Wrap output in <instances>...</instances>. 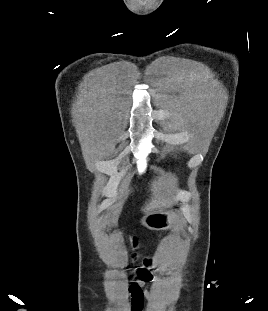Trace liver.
Listing matches in <instances>:
<instances>
[{
  "mask_svg": "<svg viewBox=\"0 0 268 311\" xmlns=\"http://www.w3.org/2000/svg\"><path fill=\"white\" fill-rule=\"evenodd\" d=\"M129 183V178L125 179L119 189V193L125 195L126 197L130 192V190H128ZM151 192L152 194L150 200H148L142 208V211L144 212L152 211L169 203L168 196L170 195V188L163 178L159 177L151 183ZM121 207V203L115 205L114 209L116 214L120 211Z\"/></svg>",
  "mask_w": 268,
  "mask_h": 311,
  "instance_id": "obj_1",
  "label": "liver"
}]
</instances>
